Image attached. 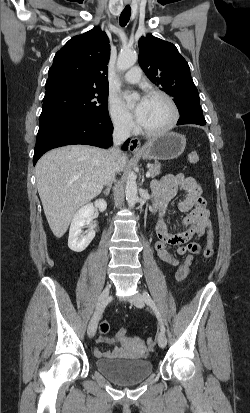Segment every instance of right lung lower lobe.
Here are the masks:
<instances>
[{"label": "right lung lower lobe", "mask_w": 250, "mask_h": 413, "mask_svg": "<svg viewBox=\"0 0 250 413\" xmlns=\"http://www.w3.org/2000/svg\"><path fill=\"white\" fill-rule=\"evenodd\" d=\"M113 126L107 116L63 115L39 126L34 149L33 164L48 150L69 145L87 144L108 148L112 145ZM127 140L123 149L128 148Z\"/></svg>", "instance_id": "right-lung-lower-lobe-1"}]
</instances>
